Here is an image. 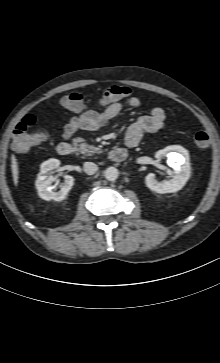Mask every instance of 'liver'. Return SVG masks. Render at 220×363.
I'll use <instances>...</instances> for the list:
<instances>
[{"instance_id": "liver-1", "label": "liver", "mask_w": 220, "mask_h": 363, "mask_svg": "<svg viewBox=\"0 0 220 363\" xmlns=\"http://www.w3.org/2000/svg\"><path fill=\"white\" fill-rule=\"evenodd\" d=\"M11 169H12V175H13V181L15 186L18 185V179H19V167L18 162L14 154L11 156Z\"/></svg>"}]
</instances>
